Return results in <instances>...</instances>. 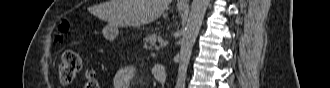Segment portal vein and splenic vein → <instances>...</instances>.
<instances>
[{
  "mask_svg": "<svg viewBox=\"0 0 330 88\" xmlns=\"http://www.w3.org/2000/svg\"><path fill=\"white\" fill-rule=\"evenodd\" d=\"M159 44H160L161 47H165V46L168 45V41H163V40L160 39Z\"/></svg>",
  "mask_w": 330,
  "mask_h": 88,
  "instance_id": "obj_1",
  "label": "portal vein and splenic vein"
}]
</instances>
